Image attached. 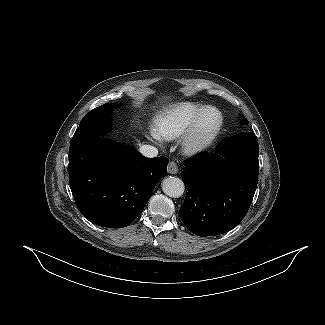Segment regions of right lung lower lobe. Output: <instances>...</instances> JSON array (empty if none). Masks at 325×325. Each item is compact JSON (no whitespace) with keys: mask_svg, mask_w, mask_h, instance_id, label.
I'll return each instance as SVG.
<instances>
[{"mask_svg":"<svg viewBox=\"0 0 325 325\" xmlns=\"http://www.w3.org/2000/svg\"><path fill=\"white\" fill-rule=\"evenodd\" d=\"M99 134H74L69 150L70 188L80 212L92 223L122 228L143 211L168 159L145 158L131 146Z\"/></svg>","mask_w":325,"mask_h":325,"instance_id":"1","label":"right lung lower lobe"}]
</instances>
